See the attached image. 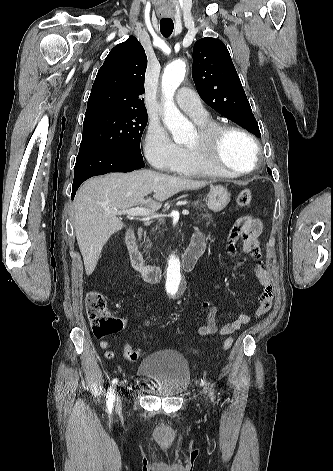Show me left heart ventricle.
I'll return each instance as SVG.
<instances>
[{
	"mask_svg": "<svg viewBox=\"0 0 333 471\" xmlns=\"http://www.w3.org/2000/svg\"><path fill=\"white\" fill-rule=\"evenodd\" d=\"M197 134L189 145L195 144ZM218 158L220 162L233 169H246L253 162V148L249 141L242 135L234 132L226 133L219 145Z\"/></svg>",
	"mask_w": 333,
	"mask_h": 471,
	"instance_id": "obj_1",
	"label": "left heart ventricle"
}]
</instances>
